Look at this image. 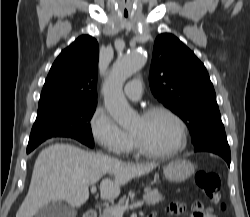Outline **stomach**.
I'll return each mask as SVG.
<instances>
[{
	"instance_id": "0dacf381",
	"label": "stomach",
	"mask_w": 250,
	"mask_h": 217,
	"mask_svg": "<svg viewBox=\"0 0 250 217\" xmlns=\"http://www.w3.org/2000/svg\"><path fill=\"white\" fill-rule=\"evenodd\" d=\"M194 173V165L185 159L170 162L164 168V176L170 182H183Z\"/></svg>"
}]
</instances>
